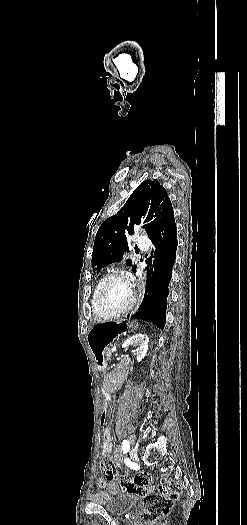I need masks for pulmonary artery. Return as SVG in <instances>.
Here are the masks:
<instances>
[{"mask_svg": "<svg viewBox=\"0 0 247 525\" xmlns=\"http://www.w3.org/2000/svg\"><path fill=\"white\" fill-rule=\"evenodd\" d=\"M133 241L138 242L140 248H141L143 251H149V250H150L149 239L147 238V236H135V238L133 239Z\"/></svg>", "mask_w": 247, "mask_h": 525, "instance_id": "obj_1", "label": "pulmonary artery"}]
</instances>
